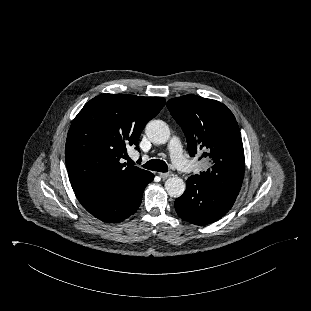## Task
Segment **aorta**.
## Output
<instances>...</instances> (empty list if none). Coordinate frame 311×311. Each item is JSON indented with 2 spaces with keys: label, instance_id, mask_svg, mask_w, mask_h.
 Returning <instances> with one entry per match:
<instances>
[{
  "label": "aorta",
  "instance_id": "762f6f07",
  "mask_svg": "<svg viewBox=\"0 0 311 311\" xmlns=\"http://www.w3.org/2000/svg\"><path fill=\"white\" fill-rule=\"evenodd\" d=\"M147 137L152 143L165 144L170 138L168 125L162 120H152L145 128ZM186 185L179 177H171L165 182V189L169 196L177 198L185 191Z\"/></svg>",
  "mask_w": 311,
  "mask_h": 311
}]
</instances>
